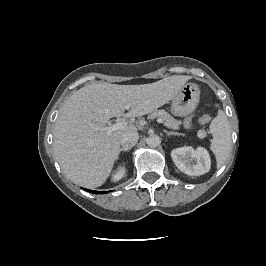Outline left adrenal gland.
<instances>
[{"label": "left adrenal gland", "mask_w": 266, "mask_h": 266, "mask_svg": "<svg viewBox=\"0 0 266 266\" xmlns=\"http://www.w3.org/2000/svg\"><path fill=\"white\" fill-rule=\"evenodd\" d=\"M166 132V135L167 136H170V135H183V134H181V133H177V132H167V131H165Z\"/></svg>", "instance_id": "obj_1"}]
</instances>
